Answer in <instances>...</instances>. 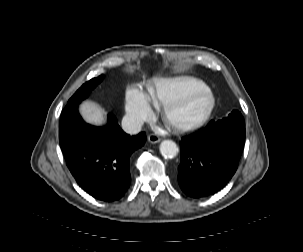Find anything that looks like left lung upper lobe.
<instances>
[{"instance_id": "left-lung-upper-lobe-1", "label": "left lung upper lobe", "mask_w": 303, "mask_h": 252, "mask_svg": "<svg viewBox=\"0 0 303 252\" xmlns=\"http://www.w3.org/2000/svg\"><path fill=\"white\" fill-rule=\"evenodd\" d=\"M221 126H245V122L242 114L237 110H233L228 117L223 118L222 120L217 122L212 120L206 128H215Z\"/></svg>"}]
</instances>
